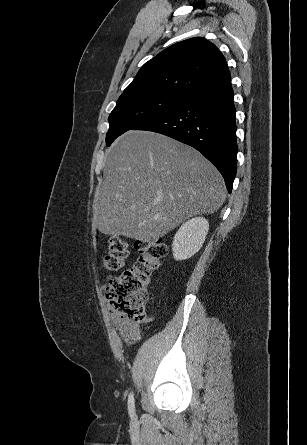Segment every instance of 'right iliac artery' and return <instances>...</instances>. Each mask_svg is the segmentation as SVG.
<instances>
[{
  "instance_id": "1",
  "label": "right iliac artery",
  "mask_w": 307,
  "mask_h": 445,
  "mask_svg": "<svg viewBox=\"0 0 307 445\" xmlns=\"http://www.w3.org/2000/svg\"><path fill=\"white\" fill-rule=\"evenodd\" d=\"M128 410L131 418H134L135 416V405H134V397L133 393H130L128 398Z\"/></svg>"
}]
</instances>
